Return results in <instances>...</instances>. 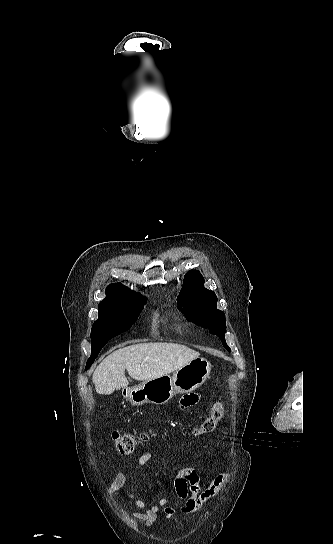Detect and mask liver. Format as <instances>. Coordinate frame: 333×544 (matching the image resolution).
<instances>
[{
  "label": "liver",
  "instance_id": "obj_1",
  "mask_svg": "<svg viewBox=\"0 0 333 544\" xmlns=\"http://www.w3.org/2000/svg\"><path fill=\"white\" fill-rule=\"evenodd\" d=\"M199 356V352L176 343L134 344L108 355L94 371L92 381L97 393L109 395L127 388L125 370L133 379L146 382L174 372Z\"/></svg>",
  "mask_w": 333,
  "mask_h": 544
}]
</instances>
